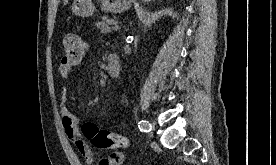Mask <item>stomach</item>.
Masks as SVG:
<instances>
[{
	"label": "stomach",
	"instance_id": "obj_1",
	"mask_svg": "<svg viewBox=\"0 0 276 165\" xmlns=\"http://www.w3.org/2000/svg\"><path fill=\"white\" fill-rule=\"evenodd\" d=\"M101 7L105 12L121 13L128 10L132 0H99ZM95 12V6L92 0H74L72 4V13L79 17H89Z\"/></svg>",
	"mask_w": 276,
	"mask_h": 165
}]
</instances>
